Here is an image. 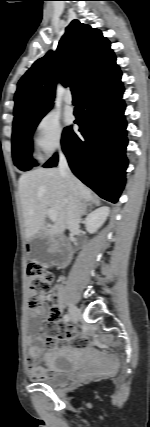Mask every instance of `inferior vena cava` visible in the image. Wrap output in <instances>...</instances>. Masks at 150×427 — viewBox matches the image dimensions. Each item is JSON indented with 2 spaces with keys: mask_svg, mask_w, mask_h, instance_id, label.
<instances>
[{
  "mask_svg": "<svg viewBox=\"0 0 150 427\" xmlns=\"http://www.w3.org/2000/svg\"><path fill=\"white\" fill-rule=\"evenodd\" d=\"M59 172L65 179V182L70 190L68 209H67V225L78 224L83 212L82 200L78 197L74 184V177L68 166L67 159L62 151H59Z\"/></svg>",
  "mask_w": 150,
  "mask_h": 427,
  "instance_id": "1",
  "label": "inferior vena cava"
}]
</instances>
